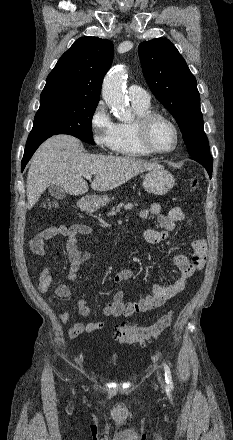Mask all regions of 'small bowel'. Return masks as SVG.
<instances>
[{"mask_svg":"<svg viewBox=\"0 0 233 440\" xmlns=\"http://www.w3.org/2000/svg\"><path fill=\"white\" fill-rule=\"evenodd\" d=\"M154 216L161 230L148 228L144 232V240L149 244H158L164 241L170 233H172L179 222L186 221L189 226L193 227L191 220L187 219L183 211L179 207H172L164 214L161 211V206L157 202H153L150 206L140 212L141 218ZM91 232L90 226L84 223H75L70 226L59 225L46 228L39 232L30 243L31 250L40 256H44L47 252L46 243L55 237L66 238V251L70 261L69 273L67 279L75 281L79 277L80 268L90 259L95 257V254L90 251L81 252L78 249L77 243L80 236L88 235ZM193 254L188 257L183 254H176L173 257L174 264L179 270V277L170 285L154 284L152 288V295L134 302L124 301V292L122 290L116 291L112 298L105 305L103 312L106 316L112 317H130L136 314L145 313L147 311L163 306L169 299L180 294L186 287L189 279L193 274L204 267L207 255L206 242L202 238L194 239L191 243ZM133 277L131 269H122L118 271L113 281L116 284L127 281ZM53 282V277L49 267H44L39 276L38 289L41 293H46ZM70 290L64 284L59 285L55 290V296L59 298H69ZM51 303L59 308L54 299L51 298ZM77 308L80 315L87 317L90 314V308L85 300H77ZM58 318L61 322L66 323L70 320V314L66 310L59 309ZM105 327L104 321H79L74 323L68 335L71 339L77 338L82 334H89Z\"/></svg>","mask_w":233,"mask_h":440,"instance_id":"c3829d8e","label":"small bowel"}]
</instances>
